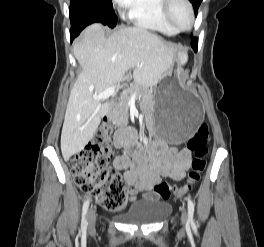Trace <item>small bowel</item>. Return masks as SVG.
Segmentation results:
<instances>
[{"instance_id": "1", "label": "small bowel", "mask_w": 264, "mask_h": 247, "mask_svg": "<svg viewBox=\"0 0 264 247\" xmlns=\"http://www.w3.org/2000/svg\"><path fill=\"white\" fill-rule=\"evenodd\" d=\"M114 141L119 150L114 167L124 172L130 187L127 192L130 200H134L137 193L157 199L153 189L162 178L180 181L190 167L191 153L188 149L168 146L157 137H153L149 148L145 149L136 130L131 127H119Z\"/></svg>"}]
</instances>
